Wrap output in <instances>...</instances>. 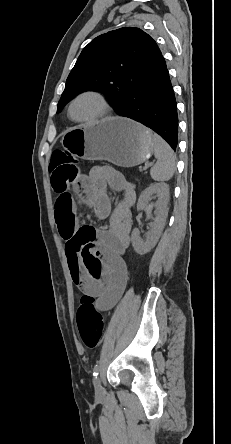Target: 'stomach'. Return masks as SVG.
I'll return each mask as SVG.
<instances>
[{
  "label": "stomach",
  "instance_id": "1",
  "mask_svg": "<svg viewBox=\"0 0 231 444\" xmlns=\"http://www.w3.org/2000/svg\"><path fill=\"white\" fill-rule=\"evenodd\" d=\"M61 143L75 157L107 160L121 167L140 165L154 152L152 132L123 117H108L70 128Z\"/></svg>",
  "mask_w": 231,
  "mask_h": 444
}]
</instances>
